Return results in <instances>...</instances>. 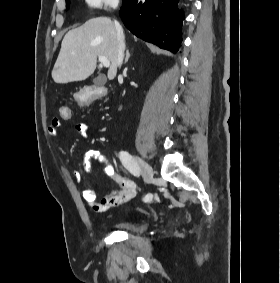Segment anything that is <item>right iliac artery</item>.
<instances>
[{"label": "right iliac artery", "instance_id": "right-iliac-artery-1", "mask_svg": "<svg viewBox=\"0 0 280 283\" xmlns=\"http://www.w3.org/2000/svg\"><path fill=\"white\" fill-rule=\"evenodd\" d=\"M119 158L124 167L134 176H140V168L136 160L126 151H120ZM143 202L148 203L151 200V194H147L143 197Z\"/></svg>", "mask_w": 280, "mask_h": 283}]
</instances>
